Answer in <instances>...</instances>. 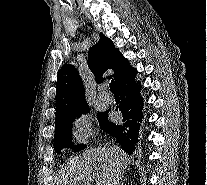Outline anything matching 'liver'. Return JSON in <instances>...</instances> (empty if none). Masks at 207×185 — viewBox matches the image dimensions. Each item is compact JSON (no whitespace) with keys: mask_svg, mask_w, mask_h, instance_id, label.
<instances>
[{"mask_svg":"<svg viewBox=\"0 0 207 185\" xmlns=\"http://www.w3.org/2000/svg\"><path fill=\"white\" fill-rule=\"evenodd\" d=\"M126 157L127 153L120 147H98L85 151L79 161H69L64 175L65 185H77L78 181H85L87 173L94 167L98 171L99 165L104 171L99 177L98 185H111L118 173H122V169H126V165L131 163Z\"/></svg>","mask_w":207,"mask_h":185,"instance_id":"liver-1","label":"liver"}]
</instances>
